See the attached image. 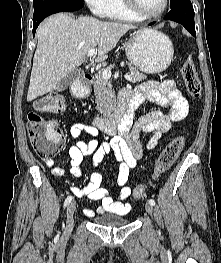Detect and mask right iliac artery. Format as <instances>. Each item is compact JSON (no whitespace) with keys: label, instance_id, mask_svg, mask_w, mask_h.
Here are the masks:
<instances>
[{"label":"right iliac artery","instance_id":"1","mask_svg":"<svg viewBox=\"0 0 221 263\" xmlns=\"http://www.w3.org/2000/svg\"><path fill=\"white\" fill-rule=\"evenodd\" d=\"M73 197L70 195L65 199L64 202V207H66L67 205H69V203L72 201Z\"/></svg>","mask_w":221,"mask_h":263}]
</instances>
